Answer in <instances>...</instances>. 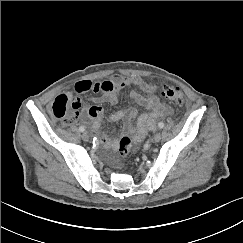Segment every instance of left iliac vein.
I'll return each instance as SVG.
<instances>
[{
  "label": "left iliac vein",
  "instance_id": "4c4485c4",
  "mask_svg": "<svg viewBox=\"0 0 243 243\" xmlns=\"http://www.w3.org/2000/svg\"><path fill=\"white\" fill-rule=\"evenodd\" d=\"M160 139H161V134L158 133V132L155 133L154 136H153V138H152V140H153L154 142H159Z\"/></svg>",
  "mask_w": 243,
  "mask_h": 243
}]
</instances>
